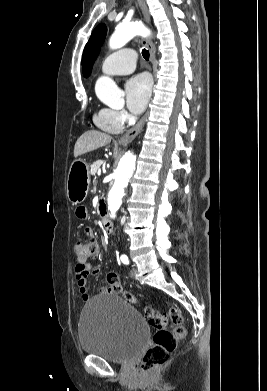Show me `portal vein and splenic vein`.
<instances>
[{
	"label": "portal vein and splenic vein",
	"instance_id": "18ae733b",
	"mask_svg": "<svg viewBox=\"0 0 267 391\" xmlns=\"http://www.w3.org/2000/svg\"><path fill=\"white\" fill-rule=\"evenodd\" d=\"M98 175H99V176L101 175V170H98Z\"/></svg>",
	"mask_w": 267,
	"mask_h": 391
}]
</instances>
